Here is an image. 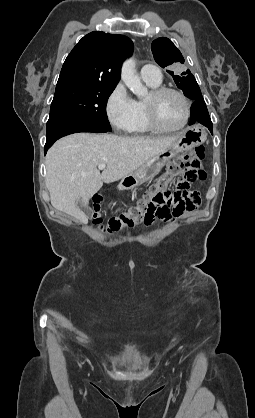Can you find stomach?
<instances>
[{
	"label": "stomach",
	"instance_id": "obj_1",
	"mask_svg": "<svg viewBox=\"0 0 255 418\" xmlns=\"http://www.w3.org/2000/svg\"><path fill=\"white\" fill-rule=\"evenodd\" d=\"M206 138L207 134L202 127L196 125L186 128L171 147L153 156L131 175L124 177L121 185L129 189L153 179L170 159L182 151L202 144Z\"/></svg>",
	"mask_w": 255,
	"mask_h": 418
}]
</instances>
